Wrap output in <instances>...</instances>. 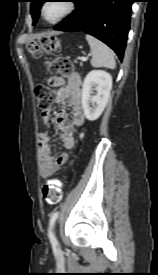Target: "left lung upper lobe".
<instances>
[{
	"label": "left lung upper lobe",
	"mask_w": 158,
	"mask_h": 275,
	"mask_svg": "<svg viewBox=\"0 0 158 275\" xmlns=\"http://www.w3.org/2000/svg\"><path fill=\"white\" fill-rule=\"evenodd\" d=\"M31 2V15L33 17V24H36L38 17H39V11L44 2L46 0H30Z\"/></svg>",
	"instance_id": "1"
}]
</instances>
